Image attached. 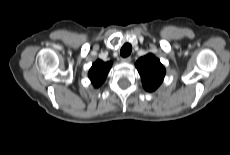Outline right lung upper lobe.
Wrapping results in <instances>:
<instances>
[{"label":"right lung upper lobe","instance_id":"1","mask_svg":"<svg viewBox=\"0 0 230 155\" xmlns=\"http://www.w3.org/2000/svg\"><path fill=\"white\" fill-rule=\"evenodd\" d=\"M111 66V62H103L101 60H97L93 63L88 76L94 87H99L103 84Z\"/></svg>","mask_w":230,"mask_h":155}]
</instances>
